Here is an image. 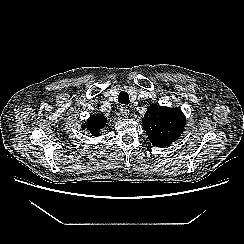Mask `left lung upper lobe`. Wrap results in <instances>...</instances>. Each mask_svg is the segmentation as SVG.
Returning a JSON list of instances; mask_svg holds the SVG:
<instances>
[{
  "label": "left lung upper lobe",
  "instance_id": "left-lung-upper-lobe-1",
  "mask_svg": "<svg viewBox=\"0 0 244 244\" xmlns=\"http://www.w3.org/2000/svg\"><path fill=\"white\" fill-rule=\"evenodd\" d=\"M143 128L152 145L169 146L183 133L186 119L181 110L160 105H151L145 113Z\"/></svg>",
  "mask_w": 244,
  "mask_h": 244
}]
</instances>
